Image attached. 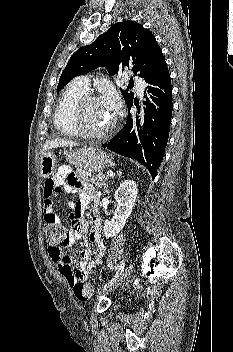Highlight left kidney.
Masks as SVG:
<instances>
[{"label": "left kidney", "instance_id": "1", "mask_svg": "<svg viewBox=\"0 0 233 352\" xmlns=\"http://www.w3.org/2000/svg\"><path fill=\"white\" fill-rule=\"evenodd\" d=\"M138 189L135 181H123L115 192L117 208L111 221L106 220L103 227L105 237L111 238L117 235L125 226L127 219L135 205Z\"/></svg>", "mask_w": 233, "mask_h": 352}]
</instances>
